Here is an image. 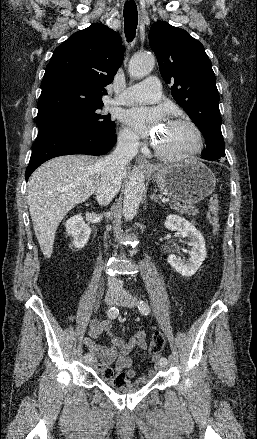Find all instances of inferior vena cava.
<instances>
[{"mask_svg":"<svg viewBox=\"0 0 257 439\" xmlns=\"http://www.w3.org/2000/svg\"><path fill=\"white\" fill-rule=\"evenodd\" d=\"M138 144L130 137L118 140L116 149L100 161L101 173L96 187V198L101 206H106L119 192L126 165L137 154ZM109 288H122L117 278H108Z\"/></svg>","mask_w":257,"mask_h":439,"instance_id":"obj_1","label":"inferior vena cava"}]
</instances>
